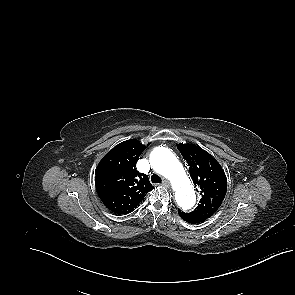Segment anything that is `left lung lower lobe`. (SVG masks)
Wrapping results in <instances>:
<instances>
[{
  "mask_svg": "<svg viewBox=\"0 0 295 295\" xmlns=\"http://www.w3.org/2000/svg\"><path fill=\"white\" fill-rule=\"evenodd\" d=\"M178 213L181 216V218L188 223H200L207 219V217H204V216H198L192 213L181 212V210L179 209H178Z\"/></svg>",
  "mask_w": 295,
  "mask_h": 295,
  "instance_id": "left-lung-lower-lobe-1",
  "label": "left lung lower lobe"
}]
</instances>
